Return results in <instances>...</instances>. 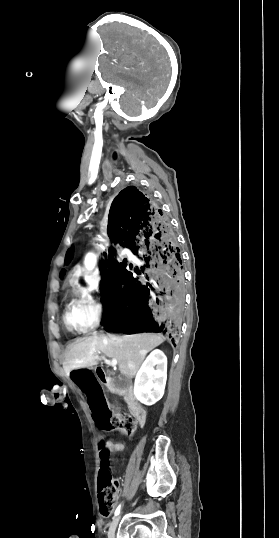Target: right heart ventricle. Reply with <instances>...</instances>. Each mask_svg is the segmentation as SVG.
Here are the masks:
<instances>
[{
    "label": "right heart ventricle",
    "instance_id": "right-heart-ventricle-1",
    "mask_svg": "<svg viewBox=\"0 0 279 538\" xmlns=\"http://www.w3.org/2000/svg\"><path fill=\"white\" fill-rule=\"evenodd\" d=\"M49 227L54 228L57 234L62 235L65 240L71 241L75 235V231L71 228H65L63 220L60 216V209L55 215L54 220H49ZM63 321L69 331H84L86 330V322L84 318V304L82 300L72 299L66 305Z\"/></svg>",
    "mask_w": 279,
    "mask_h": 538
}]
</instances>
